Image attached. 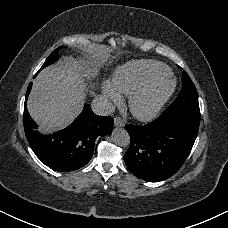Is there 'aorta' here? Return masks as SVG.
Here are the masks:
<instances>
[{
	"mask_svg": "<svg viewBox=\"0 0 228 228\" xmlns=\"http://www.w3.org/2000/svg\"><path fill=\"white\" fill-rule=\"evenodd\" d=\"M112 139L114 143L119 146L125 147L130 143V136L128 132L123 128L114 129L112 132Z\"/></svg>",
	"mask_w": 228,
	"mask_h": 228,
	"instance_id": "762f6f07",
	"label": "aorta"
}]
</instances>
